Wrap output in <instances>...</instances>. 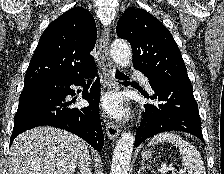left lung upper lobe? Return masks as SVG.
<instances>
[{
  "instance_id": "obj_1",
  "label": "left lung upper lobe",
  "mask_w": 224,
  "mask_h": 174,
  "mask_svg": "<svg viewBox=\"0 0 224 174\" xmlns=\"http://www.w3.org/2000/svg\"><path fill=\"white\" fill-rule=\"evenodd\" d=\"M116 32L130 43L134 68L149 81L191 84L173 36L149 12L128 8L119 18Z\"/></svg>"
}]
</instances>
